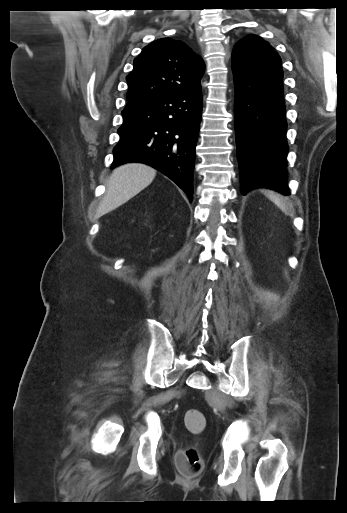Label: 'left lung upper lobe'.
Listing matches in <instances>:
<instances>
[{
	"mask_svg": "<svg viewBox=\"0 0 347 513\" xmlns=\"http://www.w3.org/2000/svg\"><path fill=\"white\" fill-rule=\"evenodd\" d=\"M237 63L255 70L282 72L281 59L263 39L251 34L239 40L233 49L232 64Z\"/></svg>",
	"mask_w": 347,
	"mask_h": 513,
	"instance_id": "obj_1",
	"label": "left lung upper lobe"
}]
</instances>
